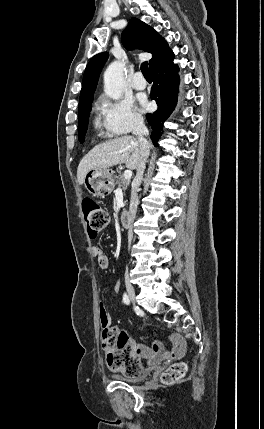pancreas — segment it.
<instances>
[{
	"mask_svg": "<svg viewBox=\"0 0 264 429\" xmlns=\"http://www.w3.org/2000/svg\"><path fill=\"white\" fill-rule=\"evenodd\" d=\"M115 179H116V184H117L119 187H122V189H123L124 191H126V190H127V187H128V186H129V184H130V180L125 179V178H124V176H123L122 174L117 175V176L115 177Z\"/></svg>",
	"mask_w": 264,
	"mask_h": 429,
	"instance_id": "cf45deb5",
	"label": "pancreas"
}]
</instances>
